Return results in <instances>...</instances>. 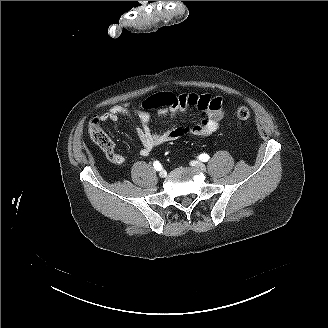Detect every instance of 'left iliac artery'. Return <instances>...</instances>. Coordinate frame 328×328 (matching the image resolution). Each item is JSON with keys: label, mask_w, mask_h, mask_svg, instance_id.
I'll list each match as a JSON object with an SVG mask.
<instances>
[{"label": "left iliac artery", "mask_w": 328, "mask_h": 328, "mask_svg": "<svg viewBox=\"0 0 328 328\" xmlns=\"http://www.w3.org/2000/svg\"><path fill=\"white\" fill-rule=\"evenodd\" d=\"M198 158H199V160H201L203 162H207L210 157H209V155L204 153V154H201Z\"/></svg>", "instance_id": "left-iliac-artery-1"}]
</instances>
